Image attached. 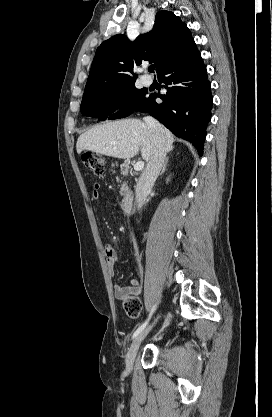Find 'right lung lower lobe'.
Wrapping results in <instances>:
<instances>
[{"instance_id": "right-lung-lower-lobe-1", "label": "right lung lower lobe", "mask_w": 272, "mask_h": 417, "mask_svg": "<svg viewBox=\"0 0 272 417\" xmlns=\"http://www.w3.org/2000/svg\"><path fill=\"white\" fill-rule=\"evenodd\" d=\"M158 79L166 85L167 93L150 94L138 111L149 113L173 134L192 142L202 155L211 119L212 93L206 67L194 41L158 72ZM156 98L163 102L157 103Z\"/></svg>"}]
</instances>
